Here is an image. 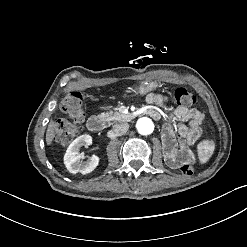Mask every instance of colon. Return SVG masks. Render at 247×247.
<instances>
[{
  "label": "colon",
  "mask_w": 247,
  "mask_h": 247,
  "mask_svg": "<svg viewBox=\"0 0 247 247\" xmlns=\"http://www.w3.org/2000/svg\"><path fill=\"white\" fill-rule=\"evenodd\" d=\"M174 95L177 104L194 106L198 102L197 97L184 87H177L174 90ZM60 109L66 118L57 122L55 138L58 144L66 145L78 134L79 125L85 116L82 95L75 90H70L62 100ZM180 172L184 175H190L193 173V166L182 165Z\"/></svg>",
  "instance_id": "obj_1"
}]
</instances>
